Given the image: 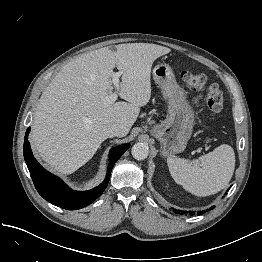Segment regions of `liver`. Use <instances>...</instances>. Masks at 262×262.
<instances>
[{
    "mask_svg": "<svg viewBox=\"0 0 262 262\" xmlns=\"http://www.w3.org/2000/svg\"><path fill=\"white\" fill-rule=\"evenodd\" d=\"M167 47L128 43L83 54L67 63L42 93L37 106L31 143L56 172L72 174L86 164L107 138L104 127L116 124L126 136L140 107L151 97L153 62L168 54ZM122 72L118 94L124 99L108 104L113 69Z\"/></svg>",
    "mask_w": 262,
    "mask_h": 262,
    "instance_id": "liver-1",
    "label": "liver"
}]
</instances>
